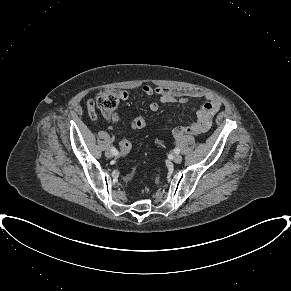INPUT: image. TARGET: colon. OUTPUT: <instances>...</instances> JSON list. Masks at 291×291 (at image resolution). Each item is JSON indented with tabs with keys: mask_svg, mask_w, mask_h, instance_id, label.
Listing matches in <instances>:
<instances>
[{
	"mask_svg": "<svg viewBox=\"0 0 291 291\" xmlns=\"http://www.w3.org/2000/svg\"><path fill=\"white\" fill-rule=\"evenodd\" d=\"M120 100V92L117 91H103L97 97V106L103 111H111L116 108ZM146 122L143 118L138 117L132 122L134 129H140L145 126ZM131 142L128 139H123L120 143V151L122 156H127L131 151Z\"/></svg>",
	"mask_w": 291,
	"mask_h": 291,
	"instance_id": "1",
	"label": "colon"
}]
</instances>
